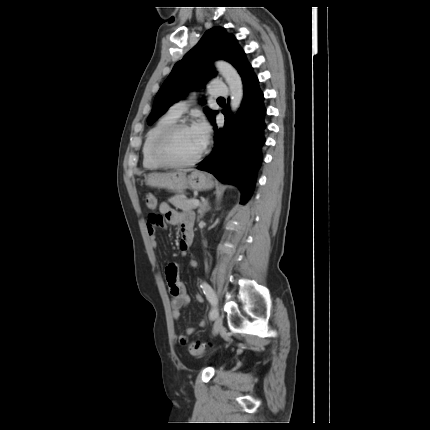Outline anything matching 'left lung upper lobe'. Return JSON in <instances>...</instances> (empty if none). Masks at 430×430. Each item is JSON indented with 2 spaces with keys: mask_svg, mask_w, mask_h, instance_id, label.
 <instances>
[{
  "mask_svg": "<svg viewBox=\"0 0 430 430\" xmlns=\"http://www.w3.org/2000/svg\"><path fill=\"white\" fill-rule=\"evenodd\" d=\"M215 59L230 62L241 77L246 73L253 74L245 53L234 36L228 34L222 27H214L206 31L198 44L175 64L156 95L152 112L147 119L148 124L156 121L186 92L199 88L208 78L213 77L215 72L212 61ZM204 110L210 119L216 114V111L209 108Z\"/></svg>",
  "mask_w": 430,
  "mask_h": 430,
  "instance_id": "left-lung-upper-lobe-1",
  "label": "left lung upper lobe"
}]
</instances>
